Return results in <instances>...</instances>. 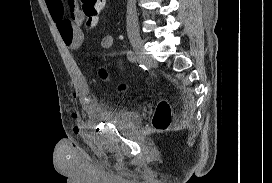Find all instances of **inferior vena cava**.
Listing matches in <instances>:
<instances>
[{"instance_id":"obj_1","label":"inferior vena cava","mask_w":272,"mask_h":183,"mask_svg":"<svg viewBox=\"0 0 272 183\" xmlns=\"http://www.w3.org/2000/svg\"><path fill=\"white\" fill-rule=\"evenodd\" d=\"M138 27V18L135 7V0H128L127 3V31H132Z\"/></svg>"}]
</instances>
